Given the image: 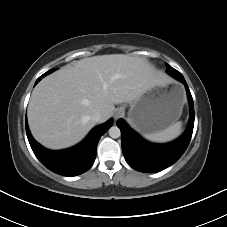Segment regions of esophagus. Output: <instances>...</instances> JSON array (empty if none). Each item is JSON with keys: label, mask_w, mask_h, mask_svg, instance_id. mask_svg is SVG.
I'll use <instances>...</instances> for the list:
<instances>
[{"label": "esophagus", "mask_w": 227, "mask_h": 227, "mask_svg": "<svg viewBox=\"0 0 227 227\" xmlns=\"http://www.w3.org/2000/svg\"><path fill=\"white\" fill-rule=\"evenodd\" d=\"M124 113H125V110H124L123 107L117 108V109L115 110V112H114V117H115V119H118V118L122 117V116L124 115Z\"/></svg>", "instance_id": "obj_1"}]
</instances>
